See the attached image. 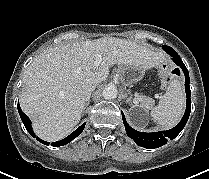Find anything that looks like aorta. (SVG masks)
<instances>
[{"instance_id":"1","label":"aorta","mask_w":209,"mask_h":179,"mask_svg":"<svg viewBox=\"0 0 209 179\" xmlns=\"http://www.w3.org/2000/svg\"><path fill=\"white\" fill-rule=\"evenodd\" d=\"M118 91L114 85H108L104 88L102 96L106 100L115 99L117 97Z\"/></svg>"}]
</instances>
